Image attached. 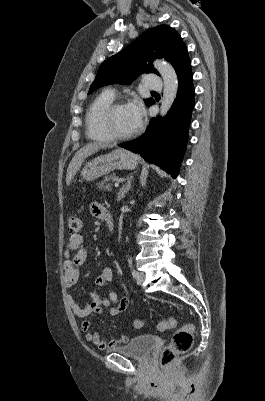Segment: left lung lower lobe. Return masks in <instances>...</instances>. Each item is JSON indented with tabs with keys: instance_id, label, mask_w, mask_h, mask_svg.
I'll use <instances>...</instances> for the list:
<instances>
[{
	"instance_id": "obj_1",
	"label": "left lung lower lobe",
	"mask_w": 265,
	"mask_h": 401,
	"mask_svg": "<svg viewBox=\"0 0 265 401\" xmlns=\"http://www.w3.org/2000/svg\"><path fill=\"white\" fill-rule=\"evenodd\" d=\"M176 74L178 92L168 115L163 119L152 118L141 137L119 144L122 148L139 153L147 162L160 166L174 178L185 152L194 108L193 75L189 57L180 64Z\"/></svg>"
}]
</instances>
